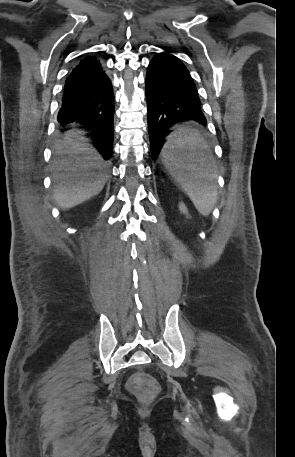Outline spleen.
I'll use <instances>...</instances> for the list:
<instances>
[{
    "label": "spleen",
    "instance_id": "obj_1",
    "mask_svg": "<svg viewBox=\"0 0 295 457\" xmlns=\"http://www.w3.org/2000/svg\"><path fill=\"white\" fill-rule=\"evenodd\" d=\"M199 150H206L203 137L195 129L181 127L169 136L161 156L196 209L208 216L217 200V188L213 171L207 170L209 163H195L190 158L191 154Z\"/></svg>",
    "mask_w": 295,
    "mask_h": 457
}]
</instances>
